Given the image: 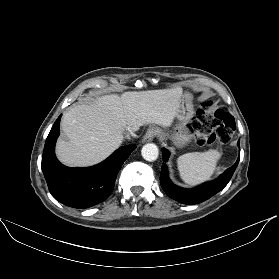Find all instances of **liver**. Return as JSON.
<instances>
[{"mask_svg": "<svg viewBox=\"0 0 279 279\" xmlns=\"http://www.w3.org/2000/svg\"><path fill=\"white\" fill-rule=\"evenodd\" d=\"M180 86L170 89L105 94L77 105L63 115L56 155L67 166H92L112 154L128 127L145 124L170 127L181 106Z\"/></svg>", "mask_w": 279, "mask_h": 279, "instance_id": "obj_1", "label": "liver"}]
</instances>
